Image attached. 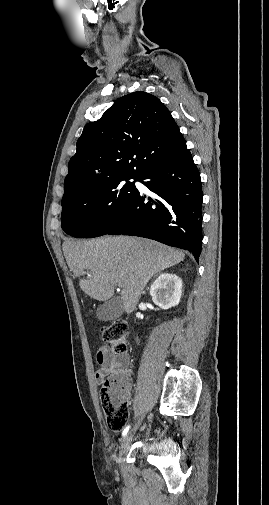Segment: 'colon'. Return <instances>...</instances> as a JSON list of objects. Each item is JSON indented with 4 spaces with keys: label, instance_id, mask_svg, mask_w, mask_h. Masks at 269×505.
I'll return each mask as SVG.
<instances>
[{
    "label": "colon",
    "instance_id": "obj_1",
    "mask_svg": "<svg viewBox=\"0 0 269 505\" xmlns=\"http://www.w3.org/2000/svg\"><path fill=\"white\" fill-rule=\"evenodd\" d=\"M128 325L123 320L113 321L102 327L101 336L105 345L115 354L127 349ZM127 381L122 377H111L103 382L100 398L106 423L112 431L123 429L128 419L126 402Z\"/></svg>",
    "mask_w": 269,
    "mask_h": 505
}]
</instances>
